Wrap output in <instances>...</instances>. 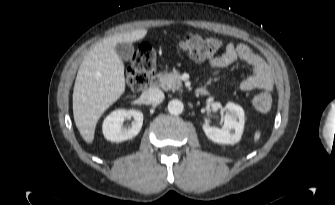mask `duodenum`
<instances>
[{"label":"duodenum","mask_w":335,"mask_h":205,"mask_svg":"<svg viewBox=\"0 0 335 205\" xmlns=\"http://www.w3.org/2000/svg\"><path fill=\"white\" fill-rule=\"evenodd\" d=\"M158 83H159V78H158V76H153V77L151 78V85H152V86H157ZM196 93H197L198 95H201V96H206V95L209 94V91H208V89H207L206 87H200V88H198V89L196 90Z\"/></svg>","instance_id":"duodenum-1"}]
</instances>
